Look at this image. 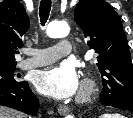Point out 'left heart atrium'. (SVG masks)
<instances>
[{"mask_svg": "<svg viewBox=\"0 0 133 118\" xmlns=\"http://www.w3.org/2000/svg\"><path fill=\"white\" fill-rule=\"evenodd\" d=\"M34 84L38 92L55 99L69 98L75 95L80 87L76 70L66 63L38 72Z\"/></svg>", "mask_w": 133, "mask_h": 118, "instance_id": "left-heart-atrium-1", "label": "left heart atrium"}]
</instances>
